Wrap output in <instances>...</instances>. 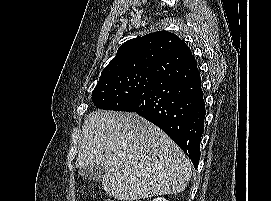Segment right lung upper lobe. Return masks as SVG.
I'll return each instance as SVG.
<instances>
[{
	"mask_svg": "<svg viewBox=\"0 0 271 201\" xmlns=\"http://www.w3.org/2000/svg\"><path fill=\"white\" fill-rule=\"evenodd\" d=\"M182 40L168 31H157L122 44L114 59L104 68L101 77L120 72L150 69L170 53Z\"/></svg>",
	"mask_w": 271,
	"mask_h": 201,
	"instance_id": "cb5924a9",
	"label": "right lung upper lobe"
}]
</instances>
